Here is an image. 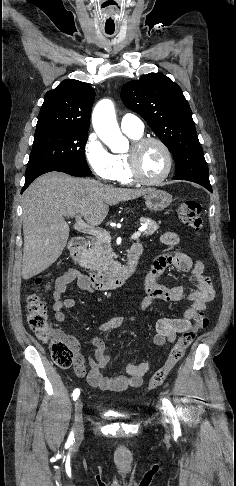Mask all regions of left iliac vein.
I'll list each match as a JSON object with an SVG mask.
<instances>
[{
	"label": "left iliac vein",
	"instance_id": "obj_1",
	"mask_svg": "<svg viewBox=\"0 0 236 486\" xmlns=\"http://www.w3.org/2000/svg\"><path fill=\"white\" fill-rule=\"evenodd\" d=\"M162 415H163V424L165 428L169 429V427L166 425V422L171 423L172 417L170 413L165 409L162 410Z\"/></svg>",
	"mask_w": 236,
	"mask_h": 486
}]
</instances>
